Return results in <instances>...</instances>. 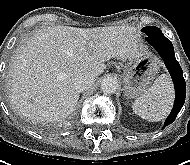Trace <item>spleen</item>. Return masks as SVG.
Returning a JSON list of instances; mask_svg holds the SVG:
<instances>
[{"label": "spleen", "mask_w": 190, "mask_h": 165, "mask_svg": "<svg viewBox=\"0 0 190 165\" xmlns=\"http://www.w3.org/2000/svg\"><path fill=\"white\" fill-rule=\"evenodd\" d=\"M173 100L172 81L167 74H162L144 95L133 102L132 109L141 118L150 122H157L169 114Z\"/></svg>", "instance_id": "1"}]
</instances>
